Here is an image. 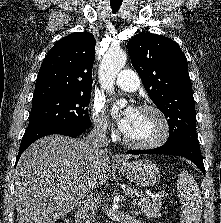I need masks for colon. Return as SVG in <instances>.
Segmentation results:
<instances>
[{"label":"colon","mask_w":221,"mask_h":223,"mask_svg":"<svg viewBox=\"0 0 221 223\" xmlns=\"http://www.w3.org/2000/svg\"><path fill=\"white\" fill-rule=\"evenodd\" d=\"M59 223H70V222L67 220H64V221H60Z\"/></svg>","instance_id":"colon-1"}]
</instances>
